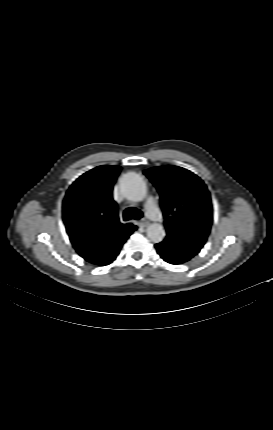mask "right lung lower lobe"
I'll return each instance as SVG.
<instances>
[{
	"instance_id": "98d812e1",
	"label": "right lung lower lobe",
	"mask_w": 273,
	"mask_h": 430,
	"mask_svg": "<svg viewBox=\"0 0 273 430\" xmlns=\"http://www.w3.org/2000/svg\"><path fill=\"white\" fill-rule=\"evenodd\" d=\"M122 245H114L111 248H109V250L105 253V256L103 257V259L94 262L93 264H97V265H108L110 264L118 255L120 248ZM104 248H107V246H103ZM92 263V262H91Z\"/></svg>"
}]
</instances>
